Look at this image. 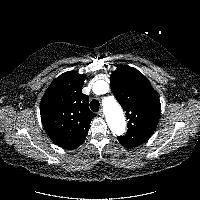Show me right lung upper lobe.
<instances>
[{"label": "right lung upper lobe", "mask_w": 200, "mask_h": 200, "mask_svg": "<svg viewBox=\"0 0 200 200\" xmlns=\"http://www.w3.org/2000/svg\"><path fill=\"white\" fill-rule=\"evenodd\" d=\"M85 77L66 72L51 83L41 99L43 126L53 142L66 149L82 144L95 116L89 110L88 96L82 93Z\"/></svg>", "instance_id": "cb5924a9"}]
</instances>
